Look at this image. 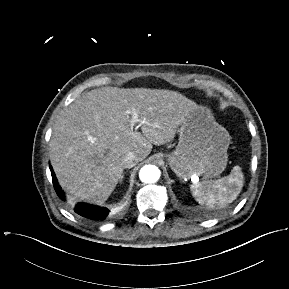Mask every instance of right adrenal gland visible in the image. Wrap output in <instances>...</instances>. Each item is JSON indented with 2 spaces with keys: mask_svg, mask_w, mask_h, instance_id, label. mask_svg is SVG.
<instances>
[{
  "mask_svg": "<svg viewBox=\"0 0 289 289\" xmlns=\"http://www.w3.org/2000/svg\"><path fill=\"white\" fill-rule=\"evenodd\" d=\"M123 177H124V175H122V177H121V179H120V183L122 182V180H123Z\"/></svg>",
  "mask_w": 289,
  "mask_h": 289,
  "instance_id": "2a0ac1e0",
  "label": "right adrenal gland"
}]
</instances>
